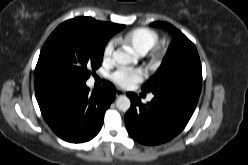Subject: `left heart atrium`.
<instances>
[{
    "instance_id": "obj_1",
    "label": "left heart atrium",
    "mask_w": 248,
    "mask_h": 165,
    "mask_svg": "<svg viewBox=\"0 0 248 165\" xmlns=\"http://www.w3.org/2000/svg\"><path fill=\"white\" fill-rule=\"evenodd\" d=\"M145 77V72L139 68H120L112 75V80L122 88H132L141 82Z\"/></svg>"
}]
</instances>
